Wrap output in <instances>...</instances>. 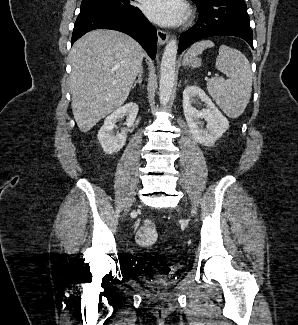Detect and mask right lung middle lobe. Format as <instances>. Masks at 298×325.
<instances>
[{"label":"right lung middle lobe","mask_w":298,"mask_h":325,"mask_svg":"<svg viewBox=\"0 0 298 325\" xmlns=\"http://www.w3.org/2000/svg\"><path fill=\"white\" fill-rule=\"evenodd\" d=\"M135 6L131 5L129 0H82L80 13L130 9Z\"/></svg>","instance_id":"right-lung-middle-lobe-1"}]
</instances>
